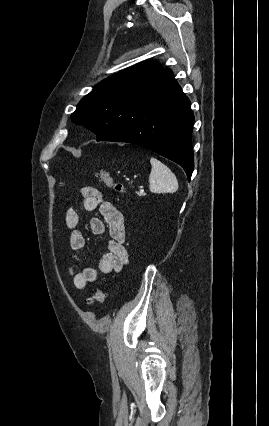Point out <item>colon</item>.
<instances>
[{
    "label": "colon",
    "instance_id": "5ec220e1",
    "mask_svg": "<svg viewBox=\"0 0 269 426\" xmlns=\"http://www.w3.org/2000/svg\"><path fill=\"white\" fill-rule=\"evenodd\" d=\"M99 180L108 188L113 189L115 192L124 193L125 188L123 184L113 180L111 175L105 169H99L97 171ZM105 299V292L101 289H95L92 295L87 298V304L90 307H96L103 303Z\"/></svg>",
    "mask_w": 269,
    "mask_h": 426
}]
</instances>
